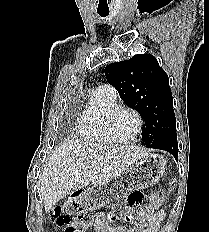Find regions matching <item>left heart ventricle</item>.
<instances>
[{
	"label": "left heart ventricle",
	"mask_w": 209,
	"mask_h": 232,
	"mask_svg": "<svg viewBox=\"0 0 209 232\" xmlns=\"http://www.w3.org/2000/svg\"><path fill=\"white\" fill-rule=\"evenodd\" d=\"M137 121L132 113L123 111L113 120L111 128L113 135L118 139L129 138L135 131Z\"/></svg>",
	"instance_id": "b2bd125f"
}]
</instances>
